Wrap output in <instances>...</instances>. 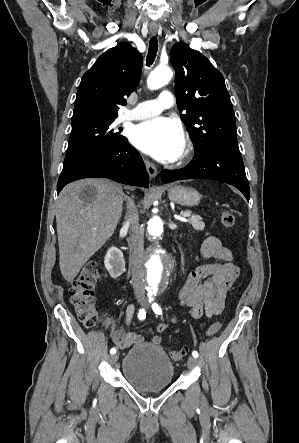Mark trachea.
Returning <instances> with one entry per match:
<instances>
[{"label":"trachea","instance_id":"1","mask_svg":"<svg viewBox=\"0 0 299 443\" xmlns=\"http://www.w3.org/2000/svg\"><path fill=\"white\" fill-rule=\"evenodd\" d=\"M157 51H158V39L154 36L150 39L149 42V49L146 59L147 65H151L154 62Z\"/></svg>","mask_w":299,"mask_h":443}]
</instances>
